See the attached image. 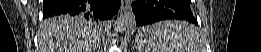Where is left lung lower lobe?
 I'll list each match as a JSON object with an SVG mask.
<instances>
[{
  "label": "left lung lower lobe",
  "instance_id": "0a47b994",
  "mask_svg": "<svg viewBox=\"0 0 261 52\" xmlns=\"http://www.w3.org/2000/svg\"><path fill=\"white\" fill-rule=\"evenodd\" d=\"M132 10L136 17V26L165 19H183L197 24L190 9V0H136Z\"/></svg>",
  "mask_w": 261,
  "mask_h": 52
}]
</instances>
